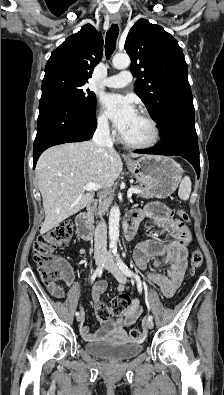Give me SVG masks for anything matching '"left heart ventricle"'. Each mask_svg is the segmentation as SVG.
<instances>
[{"instance_id":"obj_1","label":"left heart ventricle","mask_w":224,"mask_h":395,"mask_svg":"<svg viewBox=\"0 0 224 395\" xmlns=\"http://www.w3.org/2000/svg\"><path fill=\"white\" fill-rule=\"evenodd\" d=\"M121 134L132 142H146L152 131L149 123L137 113Z\"/></svg>"}]
</instances>
